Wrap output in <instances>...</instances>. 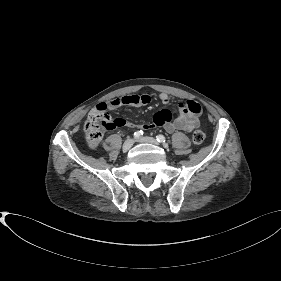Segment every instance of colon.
Returning a JSON list of instances; mask_svg holds the SVG:
<instances>
[{
    "instance_id": "1",
    "label": "colon",
    "mask_w": 281,
    "mask_h": 281,
    "mask_svg": "<svg viewBox=\"0 0 281 281\" xmlns=\"http://www.w3.org/2000/svg\"><path fill=\"white\" fill-rule=\"evenodd\" d=\"M116 119L103 109L95 108L90 111L84 124V132L88 145L96 148L102 141L105 131L116 128ZM205 135L197 129L192 134V141L195 145L203 143Z\"/></svg>"
}]
</instances>
